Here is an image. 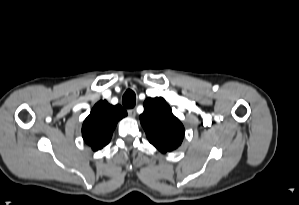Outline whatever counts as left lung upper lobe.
I'll use <instances>...</instances> for the list:
<instances>
[{
  "label": "left lung upper lobe",
  "mask_w": 299,
  "mask_h": 205,
  "mask_svg": "<svg viewBox=\"0 0 299 205\" xmlns=\"http://www.w3.org/2000/svg\"><path fill=\"white\" fill-rule=\"evenodd\" d=\"M140 119L149 142L162 153L170 152L181 145L184 126L162 97L147 98Z\"/></svg>",
  "instance_id": "1"
}]
</instances>
